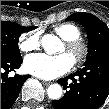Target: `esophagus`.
I'll list each match as a JSON object with an SVG mask.
<instances>
[{
    "label": "esophagus",
    "mask_w": 109,
    "mask_h": 109,
    "mask_svg": "<svg viewBox=\"0 0 109 109\" xmlns=\"http://www.w3.org/2000/svg\"><path fill=\"white\" fill-rule=\"evenodd\" d=\"M42 84L45 85V86H48L51 84V82H47V81H42Z\"/></svg>",
    "instance_id": "1"
}]
</instances>
